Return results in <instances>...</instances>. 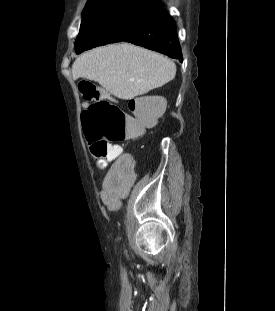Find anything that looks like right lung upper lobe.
I'll use <instances>...</instances> for the list:
<instances>
[{
    "mask_svg": "<svg viewBox=\"0 0 275 311\" xmlns=\"http://www.w3.org/2000/svg\"><path fill=\"white\" fill-rule=\"evenodd\" d=\"M147 1L159 2L158 0H147Z\"/></svg>",
    "mask_w": 275,
    "mask_h": 311,
    "instance_id": "right-lung-upper-lobe-1",
    "label": "right lung upper lobe"
}]
</instances>
